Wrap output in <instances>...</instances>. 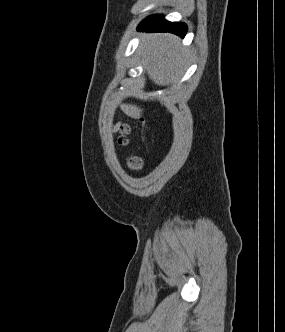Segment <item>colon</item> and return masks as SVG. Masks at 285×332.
Segmentation results:
<instances>
[{
	"mask_svg": "<svg viewBox=\"0 0 285 332\" xmlns=\"http://www.w3.org/2000/svg\"><path fill=\"white\" fill-rule=\"evenodd\" d=\"M118 143L120 145H126L128 143V135L130 133V125L128 123H120L118 125ZM128 167L131 170H139L142 167V160L139 157H132L128 161Z\"/></svg>",
	"mask_w": 285,
	"mask_h": 332,
	"instance_id": "5ec220e1",
	"label": "colon"
}]
</instances>
